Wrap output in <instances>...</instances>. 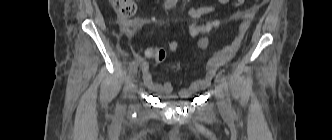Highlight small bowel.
Instances as JSON below:
<instances>
[{
	"label": "small bowel",
	"instance_id": "c3829d8e",
	"mask_svg": "<svg viewBox=\"0 0 332 140\" xmlns=\"http://www.w3.org/2000/svg\"><path fill=\"white\" fill-rule=\"evenodd\" d=\"M218 3L226 5L230 4L232 7H237L244 3L245 0H217ZM215 11L214 5L202 6L198 8L190 7L188 9L189 15L198 19L206 14L212 13ZM256 8H252L250 10H246L240 14V18L242 19L237 35L227 47L222 49L221 51L212 54L206 63L205 67V75L191 83L186 88H183L179 91L178 95L173 94L174 86L171 82H165L164 84H159L153 80L152 74L149 71V64L145 60L140 61V68L143 74V81L145 86L153 93L161 96L167 101H174L179 99H184L191 97L192 95L198 93L199 91L205 89L211 82L214 77L216 71L219 67L229 62L238 52L241 47V44L246 36V33L250 27L251 20L254 16ZM179 45L178 40H174L170 43V50L176 51ZM198 46L201 49H207L209 47V38L207 36H202L198 40Z\"/></svg>",
	"mask_w": 332,
	"mask_h": 140
}]
</instances>
